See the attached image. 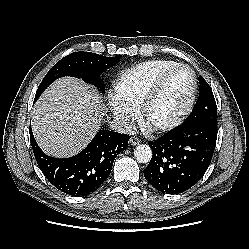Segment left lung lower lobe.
Returning a JSON list of instances; mask_svg holds the SVG:
<instances>
[{
  "mask_svg": "<svg viewBox=\"0 0 249 249\" xmlns=\"http://www.w3.org/2000/svg\"><path fill=\"white\" fill-rule=\"evenodd\" d=\"M217 140V126L180 125L148 142L153 157L144 170L158 191L182 193L195 185L208 169Z\"/></svg>",
  "mask_w": 249,
  "mask_h": 249,
  "instance_id": "obj_1",
  "label": "left lung lower lobe"
}]
</instances>
